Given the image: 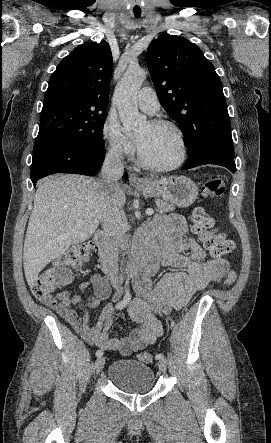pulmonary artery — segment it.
<instances>
[{"label":"pulmonary artery","instance_id":"e3ab8cb5","mask_svg":"<svg viewBox=\"0 0 271 443\" xmlns=\"http://www.w3.org/2000/svg\"><path fill=\"white\" fill-rule=\"evenodd\" d=\"M136 103L142 111L148 114H154L160 108L157 96L150 87H144L138 92Z\"/></svg>","mask_w":271,"mask_h":443}]
</instances>
